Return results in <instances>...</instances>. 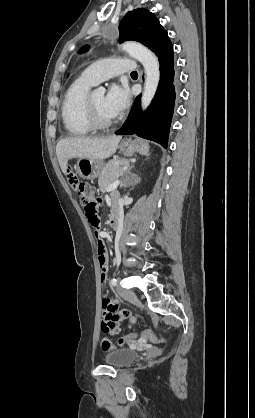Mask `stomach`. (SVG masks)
I'll return each instance as SVG.
<instances>
[{
	"label": "stomach",
	"instance_id": "obj_1",
	"mask_svg": "<svg viewBox=\"0 0 255 418\" xmlns=\"http://www.w3.org/2000/svg\"><path fill=\"white\" fill-rule=\"evenodd\" d=\"M120 151L126 156H132L138 152L146 154L149 150L147 142L143 140H125L119 146ZM104 168V161L101 159L81 158L78 160L75 170L79 176L86 180H93L98 177Z\"/></svg>",
	"mask_w": 255,
	"mask_h": 418
}]
</instances>
